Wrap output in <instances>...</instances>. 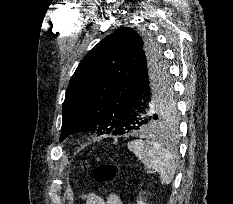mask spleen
<instances>
[{"label":"spleen","mask_w":233,"mask_h":204,"mask_svg":"<svg viewBox=\"0 0 233 204\" xmlns=\"http://www.w3.org/2000/svg\"><path fill=\"white\" fill-rule=\"evenodd\" d=\"M127 147L147 168L159 173L162 185L171 183L176 170L172 150L159 142L141 139L129 142Z\"/></svg>","instance_id":"obj_1"}]
</instances>
